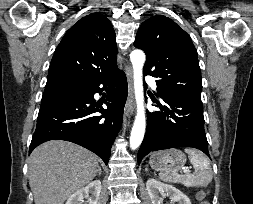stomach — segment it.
<instances>
[{
	"label": "stomach",
	"instance_id": "stomach-1",
	"mask_svg": "<svg viewBox=\"0 0 253 204\" xmlns=\"http://www.w3.org/2000/svg\"><path fill=\"white\" fill-rule=\"evenodd\" d=\"M149 163L152 169L160 173H176L185 165L186 156L178 149H169L153 153Z\"/></svg>",
	"mask_w": 253,
	"mask_h": 204
}]
</instances>
